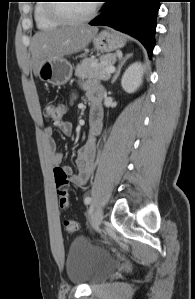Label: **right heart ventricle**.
<instances>
[{
	"instance_id": "right-heart-ventricle-1",
	"label": "right heart ventricle",
	"mask_w": 195,
	"mask_h": 299,
	"mask_svg": "<svg viewBox=\"0 0 195 299\" xmlns=\"http://www.w3.org/2000/svg\"><path fill=\"white\" fill-rule=\"evenodd\" d=\"M48 0H38L35 4L33 17L37 28L54 29L62 25V23L52 19L48 13Z\"/></svg>"
}]
</instances>
